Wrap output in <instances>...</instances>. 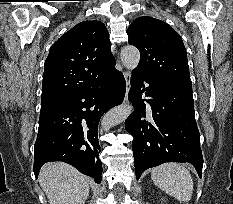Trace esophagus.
Returning <instances> with one entry per match:
<instances>
[{
  "mask_svg": "<svg viewBox=\"0 0 233 204\" xmlns=\"http://www.w3.org/2000/svg\"><path fill=\"white\" fill-rule=\"evenodd\" d=\"M124 78H125V81H126V94H125V98H124V103H127L128 102V93H129V90H130V73L128 71H124Z\"/></svg>",
  "mask_w": 233,
  "mask_h": 204,
  "instance_id": "1",
  "label": "esophagus"
}]
</instances>
